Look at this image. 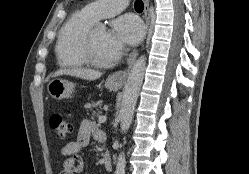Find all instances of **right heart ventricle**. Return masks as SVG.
<instances>
[{"label":"right heart ventricle","mask_w":249,"mask_h":174,"mask_svg":"<svg viewBox=\"0 0 249 174\" xmlns=\"http://www.w3.org/2000/svg\"><path fill=\"white\" fill-rule=\"evenodd\" d=\"M94 22L95 20L82 10L73 14L62 27L56 45V54L61 66L77 68L87 64L83 55V44Z\"/></svg>","instance_id":"1"}]
</instances>
